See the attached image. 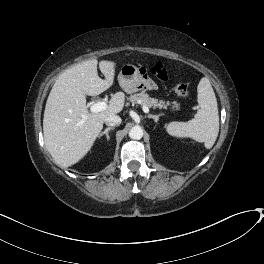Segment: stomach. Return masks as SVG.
<instances>
[{"label": "stomach", "instance_id": "stomach-1", "mask_svg": "<svg viewBox=\"0 0 264 264\" xmlns=\"http://www.w3.org/2000/svg\"><path fill=\"white\" fill-rule=\"evenodd\" d=\"M143 81V75L133 64H124L118 75V82L127 93L138 91Z\"/></svg>", "mask_w": 264, "mask_h": 264}]
</instances>
